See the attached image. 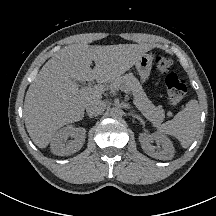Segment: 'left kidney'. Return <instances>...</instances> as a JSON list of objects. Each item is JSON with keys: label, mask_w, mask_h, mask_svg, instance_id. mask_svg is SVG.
Here are the masks:
<instances>
[{"label": "left kidney", "mask_w": 216, "mask_h": 216, "mask_svg": "<svg viewBox=\"0 0 216 216\" xmlns=\"http://www.w3.org/2000/svg\"><path fill=\"white\" fill-rule=\"evenodd\" d=\"M139 141L144 152L153 158L170 160L174 156V147L172 142L161 133H141L139 135ZM153 141H156L159 145H161V149L159 151H156L155 147L151 145V142Z\"/></svg>", "instance_id": "left-kidney-1"}]
</instances>
